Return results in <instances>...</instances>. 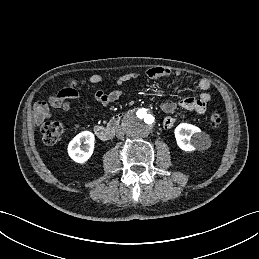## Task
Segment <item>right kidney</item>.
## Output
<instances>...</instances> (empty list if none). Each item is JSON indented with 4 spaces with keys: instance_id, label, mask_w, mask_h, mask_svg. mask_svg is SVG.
<instances>
[{
    "instance_id": "1",
    "label": "right kidney",
    "mask_w": 259,
    "mask_h": 259,
    "mask_svg": "<svg viewBox=\"0 0 259 259\" xmlns=\"http://www.w3.org/2000/svg\"><path fill=\"white\" fill-rule=\"evenodd\" d=\"M94 134L90 131H83L76 135L68 145V154L77 163H85L94 150ZM84 144V146H81Z\"/></svg>"
}]
</instances>
